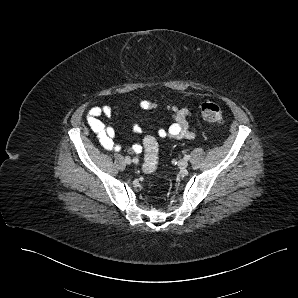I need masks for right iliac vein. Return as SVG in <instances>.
Wrapping results in <instances>:
<instances>
[{"mask_svg": "<svg viewBox=\"0 0 298 298\" xmlns=\"http://www.w3.org/2000/svg\"><path fill=\"white\" fill-rule=\"evenodd\" d=\"M124 161H125L126 164H130L132 162L131 158L128 157V156L125 157Z\"/></svg>", "mask_w": 298, "mask_h": 298, "instance_id": "obj_1", "label": "right iliac vein"}]
</instances>
